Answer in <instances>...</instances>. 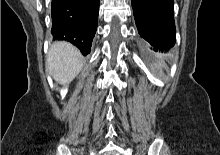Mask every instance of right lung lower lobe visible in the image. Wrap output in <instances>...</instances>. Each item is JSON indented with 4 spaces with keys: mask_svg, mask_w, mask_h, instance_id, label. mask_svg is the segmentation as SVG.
<instances>
[{
    "mask_svg": "<svg viewBox=\"0 0 220 155\" xmlns=\"http://www.w3.org/2000/svg\"><path fill=\"white\" fill-rule=\"evenodd\" d=\"M99 0H52L51 34L77 46L83 55L90 53L97 29Z\"/></svg>",
    "mask_w": 220,
    "mask_h": 155,
    "instance_id": "obj_1",
    "label": "right lung lower lobe"
}]
</instances>
